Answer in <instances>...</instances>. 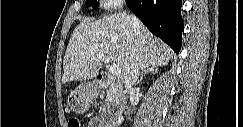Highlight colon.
Listing matches in <instances>:
<instances>
[{
    "mask_svg": "<svg viewBox=\"0 0 243 127\" xmlns=\"http://www.w3.org/2000/svg\"><path fill=\"white\" fill-rule=\"evenodd\" d=\"M69 126L70 127H79L80 123L77 119H70L69 120Z\"/></svg>",
    "mask_w": 243,
    "mask_h": 127,
    "instance_id": "1",
    "label": "colon"
}]
</instances>
